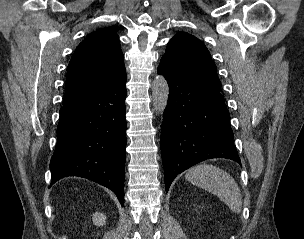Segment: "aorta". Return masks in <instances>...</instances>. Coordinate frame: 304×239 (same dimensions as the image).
<instances>
[{
    "mask_svg": "<svg viewBox=\"0 0 304 239\" xmlns=\"http://www.w3.org/2000/svg\"><path fill=\"white\" fill-rule=\"evenodd\" d=\"M169 98V85L167 80L163 77L158 75L152 84V100L154 109L158 113H163L167 106Z\"/></svg>",
    "mask_w": 304,
    "mask_h": 239,
    "instance_id": "aorta-1",
    "label": "aorta"
}]
</instances>
